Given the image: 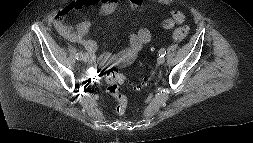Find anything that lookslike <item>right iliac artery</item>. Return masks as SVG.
<instances>
[{"label": "right iliac artery", "mask_w": 253, "mask_h": 143, "mask_svg": "<svg viewBox=\"0 0 253 143\" xmlns=\"http://www.w3.org/2000/svg\"><path fill=\"white\" fill-rule=\"evenodd\" d=\"M82 58H83L82 52H78V53L76 54V59H77V60H81Z\"/></svg>", "instance_id": "1"}]
</instances>
